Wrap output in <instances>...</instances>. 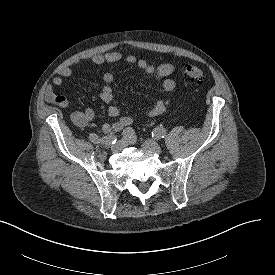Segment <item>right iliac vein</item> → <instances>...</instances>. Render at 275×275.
Returning a JSON list of instances; mask_svg holds the SVG:
<instances>
[{"mask_svg":"<svg viewBox=\"0 0 275 275\" xmlns=\"http://www.w3.org/2000/svg\"><path fill=\"white\" fill-rule=\"evenodd\" d=\"M126 144V141L124 139L118 141L116 144L111 146V150L113 152H120Z\"/></svg>","mask_w":275,"mask_h":275,"instance_id":"1","label":"right iliac vein"}]
</instances>
